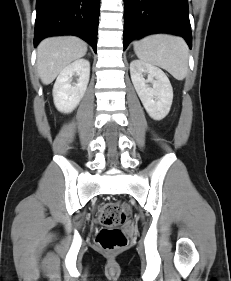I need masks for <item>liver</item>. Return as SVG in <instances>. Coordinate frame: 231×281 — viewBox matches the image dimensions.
Instances as JSON below:
<instances>
[{
  "label": "liver",
  "mask_w": 231,
  "mask_h": 281,
  "mask_svg": "<svg viewBox=\"0 0 231 281\" xmlns=\"http://www.w3.org/2000/svg\"><path fill=\"white\" fill-rule=\"evenodd\" d=\"M87 52V44L74 36L51 37L37 47V70L41 81L48 85L71 62Z\"/></svg>",
  "instance_id": "6515ba94"
}]
</instances>
